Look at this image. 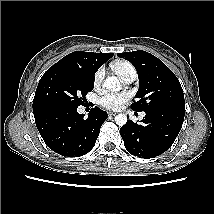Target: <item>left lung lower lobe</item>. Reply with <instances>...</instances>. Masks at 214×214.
Segmentation results:
<instances>
[{
  "label": "left lung lower lobe",
  "instance_id": "0a47b994",
  "mask_svg": "<svg viewBox=\"0 0 214 214\" xmlns=\"http://www.w3.org/2000/svg\"><path fill=\"white\" fill-rule=\"evenodd\" d=\"M145 113L141 124L128 121L120 134L130 154L149 159L172 146L182 128L185 112L159 109Z\"/></svg>",
  "mask_w": 214,
  "mask_h": 214
}]
</instances>
